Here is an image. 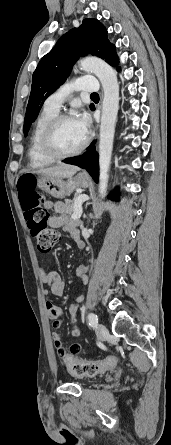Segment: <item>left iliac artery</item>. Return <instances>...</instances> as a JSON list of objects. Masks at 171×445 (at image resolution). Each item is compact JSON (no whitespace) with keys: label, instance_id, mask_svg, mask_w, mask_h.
<instances>
[{"label":"left iliac artery","instance_id":"1","mask_svg":"<svg viewBox=\"0 0 171 445\" xmlns=\"http://www.w3.org/2000/svg\"><path fill=\"white\" fill-rule=\"evenodd\" d=\"M88 321H89V325L91 327H96L98 324V317L96 314L94 313H89L88 314Z\"/></svg>","mask_w":171,"mask_h":445}]
</instances>
